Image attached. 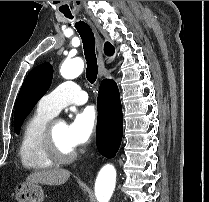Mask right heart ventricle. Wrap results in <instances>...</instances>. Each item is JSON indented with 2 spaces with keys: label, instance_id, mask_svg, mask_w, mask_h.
<instances>
[{
  "label": "right heart ventricle",
  "instance_id": "right-heart-ventricle-1",
  "mask_svg": "<svg viewBox=\"0 0 209 202\" xmlns=\"http://www.w3.org/2000/svg\"><path fill=\"white\" fill-rule=\"evenodd\" d=\"M54 115L38 108L22 127L18 154L22 164L30 169L42 170L52 167L53 160L46 153L42 138L47 124Z\"/></svg>",
  "mask_w": 209,
  "mask_h": 202
}]
</instances>
